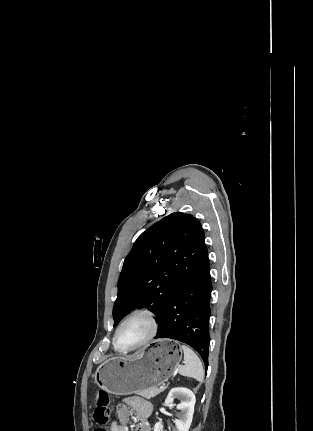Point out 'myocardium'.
Wrapping results in <instances>:
<instances>
[{"label":"myocardium","mask_w":313,"mask_h":431,"mask_svg":"<svg viewBox=\"0 0 313 431\" xmlns=\"http://www.w3.org/2000/svg\"><path fill=\"white\" fill-rule=\"evenodd\" d=\"M137 317H143L145 318L149 324H150V332L147 335V337L141 341L140 343H138L137 345L130 347V348H120L117 344V337H118V333L120 332L121 328L130 320L137 318ZM159 331V321L157 316L155 315L154 312H152L149 309H137L135 311H133L132 313H130L117 327L114 336H113V345L114 348L119 351V352H131L137 349H140L146 345H148L157 335Z\"/></svg>","instance_id":"myocardium-1"}]
</instances>
